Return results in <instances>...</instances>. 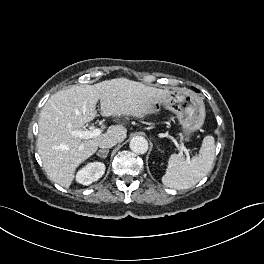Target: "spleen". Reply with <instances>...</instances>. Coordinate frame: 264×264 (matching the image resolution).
<instances>
[{
  "label": "spleen",
  "mask_w": 264,
  "mask_h": 264,
  "mask_svg": "<svg viewBox=\"0 0 264 264\" xmlns=\"http://www.w3.org/2000/svg\"><path fill=\"white\" fill-rule=\"evenodd\" d=\"M215 141L213 136H206L198 156L184 160L180 154H172L162 182L173 189H188L196 185L213 168Z\"/></svg>",
  "instance_id": "3e777b00"
}]
</instances>
